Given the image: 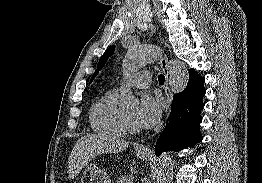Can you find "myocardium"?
Segmentation results:
<instances>
[{
  "label": "myocardium",
  "mask_w": 262,
  "mask_h": 183,
  "mask_svg": "<svg viewBox=\"0 0 262 183\" xmlns=\"http://www.w3.org/2000/svg\"><path fill=\"white\" fill-rule=\"evenodd\" d=\"M124 122H125V126L127 129V132L131 133V134H139L141 133V129L135 124L133 123L126 114H124Z\"/></svg>",
  "instance_id": "1"
}]
</instances>
